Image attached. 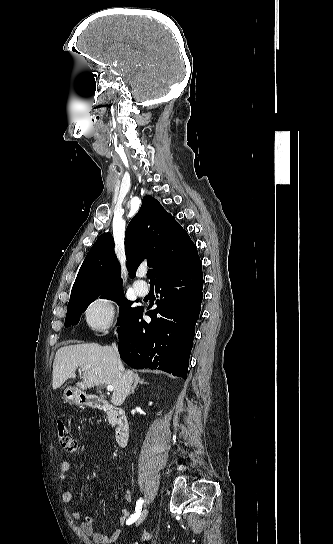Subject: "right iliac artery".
Returning a JSON list of instances; mask_svg holds the SVG:
<instances>
[{
	"mask_svg": "<svg viewBox=\"0 0 333 544\" xmlns=\"http://www.w3.org/2000/svg\"><path fill=\"white\" fill-rule=\"evenodd\" d=\"M143 502L144 500L143 499H139L137 502H136V512L131 516V518L127 521V525H130L132 524L133 522H135L139 515H140V512L142 510V505H143Z\"/></svg>",
	"mask_w": 333,
	"mask_h": 544,
	"instance_id": "obj_1",
	"label": "right iliac artery"
}]
</instances>
